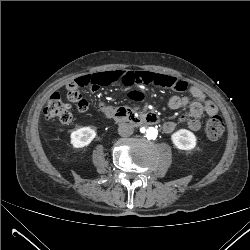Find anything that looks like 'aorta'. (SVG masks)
Masks as SVG:
<instances>
[{"label":"aorta","mask_w":250,"mask_h":250,"mask_svg":"<svg viewBox=\"0 0 250 250\" xmlns=\"http://www.w3.org/2000/svg\"><path fill=\"white\" fill-rule=\"evenodd\" d=\"M146 135L148 139H155L157 137L158 131L154 127H149L141 131Z\"/></svg>","instance_id":"762f6f07"}]
</instances>
